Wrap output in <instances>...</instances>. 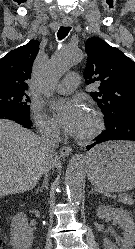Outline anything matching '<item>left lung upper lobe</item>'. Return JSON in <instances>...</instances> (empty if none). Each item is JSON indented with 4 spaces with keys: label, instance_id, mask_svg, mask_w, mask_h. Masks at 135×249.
I'll return each mask as SVG.
<instances>
[{
    "label": "left lung upper lobe",
    "instance_id": "5c2ea615",
    "mask_svg": "<svg viewBox=\"0 0 135 249\" xmlns=\"http://www.w3.org/2000/svg\"><path fill=\"white\" fill-rule=\"evenodd\" d=\"M85 51L88 59L84 77L87 84L99 86L91 96L105 121L124 109H135V62L97 37L86 41Z\"/></svg>",
    "mask_w": 135,
    "mask_h": 249
}]
</instances>
